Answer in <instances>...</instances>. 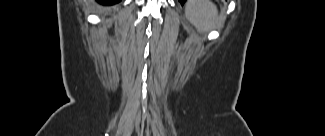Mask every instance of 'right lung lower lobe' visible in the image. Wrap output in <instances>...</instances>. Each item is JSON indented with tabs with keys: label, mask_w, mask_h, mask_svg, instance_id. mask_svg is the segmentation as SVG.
Masks as SVG:
<instances>
[{
	"label": "right lung lower lobe",
	"mask_w": 325,
	"mask_h": 136,
	"mask_svg": "<svg viewBox=\"0 0 325 136\" xmlns=\"http://www.w3.org/2000/svg\"><path fill=\"white\" fill-rule=\"evenodd\" d=\"M98 2L104 5H113L120 2V0H98Z\"/></svg>",
	"instance_id": "1"
}]
</instances>
